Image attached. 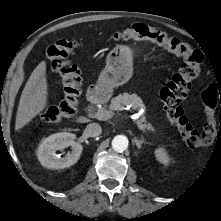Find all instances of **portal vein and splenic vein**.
<instances>
[{"label": "portal vein and splenic vein", "mask_w": 221, "mask_h": 221, "mask_svg": "<svg viewBox=\"0 0 221 221\" xmlns=\"http://www.w3.org/2000/svg\"><path fill=\"white\" fill-rule=\"evenodd\" d=\"M113 115V112L103 109H99L94 113L95 118H97L98 120H108L112 118ZM136 124L140 130L144 131V125L140 122V120H137Z\"/></svg>", "instance_id": "portal-vein-and-splenic-vein-1"}]
</instances>
